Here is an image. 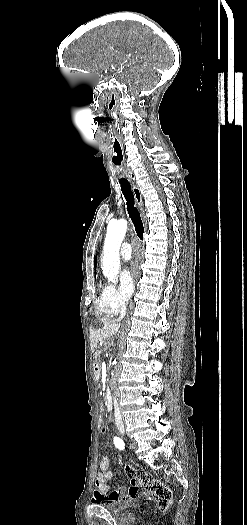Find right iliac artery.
<instances>
[{
    "label": "right iliac artery",
    "instance_id": "82829eb1",
    "mask_svg": "<svg viewBox=\"0 0 247 525\" xmlns=\"http://www.w3.org/2000/svg\"><path fill=\"white\" fill-rule=\"evenodd\" d=\"M114 444L120 450H123L125 448V444H124L123 440L118 438V437H116V436L114 437Z\"/></svg>",
    "mask_w": 247,
    "mask_h": 525
}]
</instances>
